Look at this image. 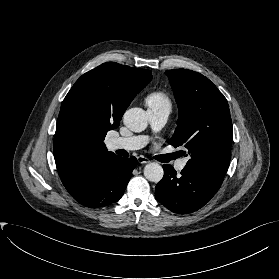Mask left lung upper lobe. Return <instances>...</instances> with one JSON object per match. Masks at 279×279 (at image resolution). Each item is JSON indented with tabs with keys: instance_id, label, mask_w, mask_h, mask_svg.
<instances>
[{
	"instance_id": "1",
	"label": "left lung upper lobe",
	"mask_w": 279,
	"mask_h": 279,
	"mask_svg": "<svg viewBox=\"0 0 279 279\" xmlns=\"http://www.w3.org/2000/svg\"><path fill=\"white\" fill-rule=\"evenodd\" d=\"M179 108L174 147L190 159L183 170L221 185L230 164L232 122L224 95L205 76L187 69L165 72Z\"/></svg>"
}]
</instances>
